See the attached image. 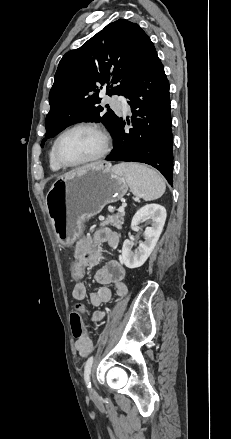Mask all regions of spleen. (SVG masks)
Segmentation results:
<instances>
[{
    "label": "spleen",
    "mask_w": 231,
    "mask_h": 439,
    "mask_svg": "<svg viewBox=\"0 0 231 439\" xmlns=\"http://www.w3.org/2000/svg\"><path fill=\"white\" fill-rule=\"evenodd\" d=\"M123 175L131 192L145 201L160 198L165 192V181L155 170L138 163H121L113 167Z\"/></svg>",
    "instance_id": "1"
}]
</instances>
